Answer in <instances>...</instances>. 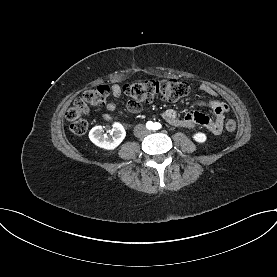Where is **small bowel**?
Segmentation results:
<instances>
[{
  "label": "small bowel",
  "mask_w": 277,
  "mask_h": 277,
  "mask_svg": "<svg viewBox=\"0 0 277 277\" xmlns=\"http://www.w3.org/2000/svg\"><path fill=\"white\" fill-rule=\"evenodd\" d=\"M199 88L203 92L210 95L211 98L206 101H196L194 105L211 109L215 115L214 119H211L207 115L197 111L189 112L183 119H179L178 113L173 109H167L163 111L161 116L165 121L172 125L186 126L191 128L200 126L207 129L212 134L218 135L223 130L224 115L228 111V106L225 102L216 99L217 92L210 85L202 83L200 84ZM111 91L115 97H120L122 95V88L118 84H113L111 86ZM105 107L109 112L116 110V105L112 102H108ZM127 111L131 114L140 112V103L129 101L127 103ZM102 117L108 121L115 119V117L109 113H104Z\"/></svg>",
  "instance_id": "small-bowel-1"
}]
</instances>
